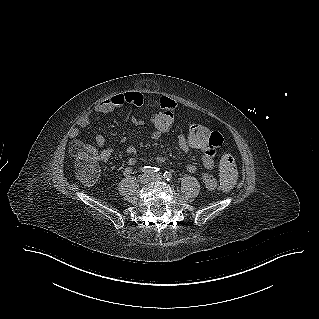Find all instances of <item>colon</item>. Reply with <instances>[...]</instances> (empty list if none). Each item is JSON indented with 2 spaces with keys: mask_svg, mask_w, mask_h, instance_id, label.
<instances>
[{
  "mask_svg": "<svg viewBox=\"0 0 319 319\" xmlns=\"http://www.w3.org/2000/svg\"><path fill=\"white\" fill-rule=\"evenodd\" d=\"M174 125L175 116L173 113L154 111L147 118V127L154 134H166ZM210 131L207 125L199 121H192L184 127L182 139L190 149L200 151L203 150L204 144L211 141ZM71 149L77 160L76 174L78 178L86 185H93L100 172L94 148L77 140L73 142ZM219 168L221 189L229 190L234 185L237 176L234 157L225 153L221 158Z\"/></svg>",
  "mask_w": 319,
  "mask_h": 319,
  "instance_id": "obj_1",
  "label": "colon"
}]
</instances>
